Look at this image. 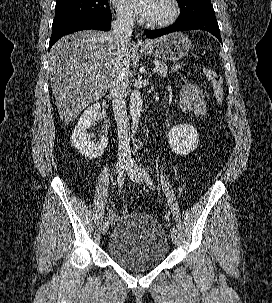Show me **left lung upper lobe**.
I'll list each match as a JSON object with an SVG mask.
<instances>
[{
	"mask_svg": "<svg viewBox=\"0 0 272 303\" xmlns=\"http://www.w3.org/2000/svg\"><path fill=\"white\" fill-rule=\"evenodd\" d=\"M181 14L177 21L215 17L211 0H178Z\"/></svg>",
	"mask_w": 272,
	"mask_h": 303,
	"instance_id": "obj_1",
	"label": "left lung upper lobe"
}]
</instances>
